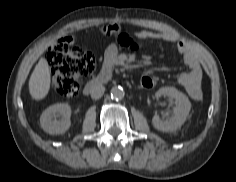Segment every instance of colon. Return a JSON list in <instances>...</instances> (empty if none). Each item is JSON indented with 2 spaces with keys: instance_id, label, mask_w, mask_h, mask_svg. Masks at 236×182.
Masks as SVG:
<instances>
[{
  "instance_id": "colon-1",
  "label": "colon",
  "mask_w": 236,
  "mask_h": 182,
  "mask_svg": "<svg viewBox=\"0 0 236 182\" xmlns=\"http://www.w3.org/2000/svg\"><path fill=\"white\" fill-rule=\"evenodd\" d=\"M102 32L130 49H137L136 43L115 26H105ZM72 37L54 42L48 49V61L52 72V87L62 97L70 98L77 94L80 80L91 74L96 66L91 51L80 46H71ZM156 81L150 75H143L140 86L144 89L154 87Z\"/></svg>"
}]
</instances>
